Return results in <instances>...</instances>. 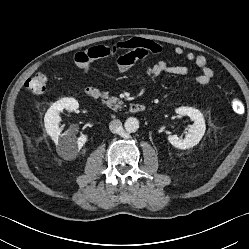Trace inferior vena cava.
<instances>
[{
    "instance_id": "obj_1",
    "label": "inferior vena cava",
    "mask_w": 249,
    "mask_h": 249,
    "mask_svg": "<svg viewBox=\"0 0 249 249\" xmlns=\"http://www.w3.org/2000/svg\"><path fill=\"white\" fill-rule=\"evenodd\" d=\"M109 129L114 134L120 133L123 129L121 121L118 119L112 120L109 124Z\"/></svg>"
}]
</instances>
